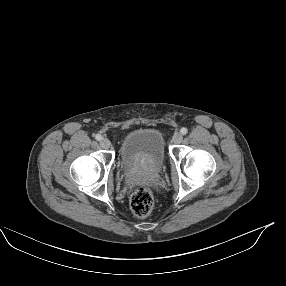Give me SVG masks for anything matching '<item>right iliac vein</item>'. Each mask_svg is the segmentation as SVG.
Masks as SVG:
<instances>
[{"instance_id": "obj_1", "label": "right iliac vein", "mask_w": 286, "mask_h": 286, "mask_svg": "<svg viewBox=\"0 0 286 286\" xmlns=\"http://www.w3.org/2000/svg\"><path fill=\"white\" fill-rule=\"evenodd\" d=\"M100 145H101V147H103V148H109L110 145H111V143H110V141H109L107 138H103V139H101V141H100Z\"/></svg>"}]
</instances>
